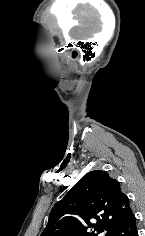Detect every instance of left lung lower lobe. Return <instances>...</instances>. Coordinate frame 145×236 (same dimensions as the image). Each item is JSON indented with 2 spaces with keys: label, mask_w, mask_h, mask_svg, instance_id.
<instances>
[{
  "label": "left lung lower lobe",
  "mask_w": 145,
  "mask_h": 236,
  "mask_svg": "<svg viewBox=\"0 0 145 236\" xmlns=\"http://www.w3.org/2000/svg\"><path fill=\"white\" fill-rule=\"evenodd\" d=\"M111 236H138L136 218L133 212L114 229Z\"/></svg>",
  "instance_id": "left-lung-lower-lobe-1"
}]
</instances>
